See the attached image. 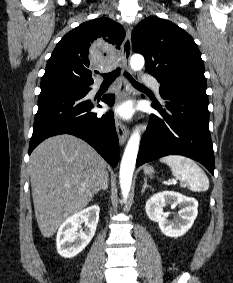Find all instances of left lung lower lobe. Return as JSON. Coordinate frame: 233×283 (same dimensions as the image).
Masks as SVG:
<instances>
[{
	"label": "left lung lower lobe",
	"instance_id": "1",
	"mask_svg": "<svg viewBox=\"0 0 233 283\" xmlns=\"http://www.w3.org/2000/svg\"><path fill=\"white\" fill-rule=\"evenodd\" d=\"M160 95L163 102L152 105L159 114L150 116L136 166L166 155H183L197 160L214 175L206 90L180 86Z\"/></svg>",
	"mask_w": 233,
	"mask_h": 283
}]
</instances>
